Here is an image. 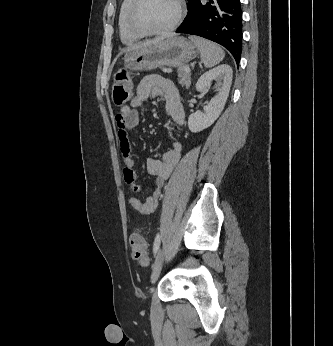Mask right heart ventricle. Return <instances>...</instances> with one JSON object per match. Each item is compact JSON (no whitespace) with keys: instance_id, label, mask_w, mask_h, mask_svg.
Here are the masks:
<instances>
[{"instance_id":"right-heart-ventricle-1","label":"right heart ventricle","mask_w":333,"mask_h":346,"mask_svg":"<svg viewBox=\"0 0 333 346\" xmlns=\"http://www.w3.org/2000/svg\"><path fill=\"white\" fill-rule=\"evenodd\" d=\"M133 2L134 0H122L118 14V32L121 41L125 44L135 43L141 38V35L134 33L128 25V15Z\"/></svg>"}]
</instances>
